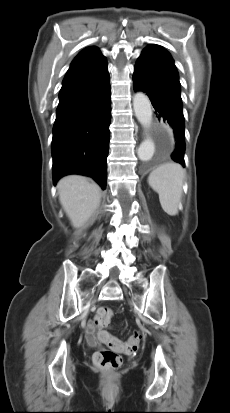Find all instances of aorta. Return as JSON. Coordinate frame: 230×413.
Here are the masks:
<instances>
[{
	"label": "aorta",
	"mask_w": 230,
	"mask_h": 413,
	"mask_svg": "<svg viewBox=\"0 0 230 413\" xmlns=\"http://www.w3.org/2000/svg\"><path fill=\"white\" fill-rule=\"evenodd\" d=\"M133 108L135 116L140 124L149 128L152 123V106L149 98L142 92H137L133 97ZM154 141L147 137L138 148V157L141 161H149L154 154Z\"/></svg>",
	"instance_id": "1"
}]
</instances>
